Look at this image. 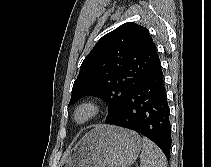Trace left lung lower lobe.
<instances>
[{"label":"left lung lower lobe","instance_id":"left-lung-lower-lobe-1","mask_svg":"<svg viewBox=\"0 0 211 167\" xmlns=\"http://www.w3.org/2000/svg\"><path fill=\"white\" fill-rule=\"evenodd\" d=\"M107 124L125 127L152 140L169 160L171 125L160 61L124 100L119 113Z\"/></svg>","mask_w":211,"mask_h":167}]
</instances>
